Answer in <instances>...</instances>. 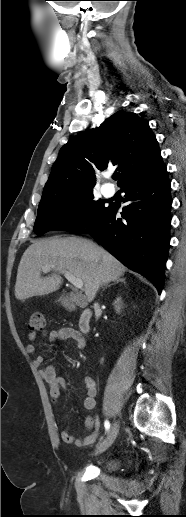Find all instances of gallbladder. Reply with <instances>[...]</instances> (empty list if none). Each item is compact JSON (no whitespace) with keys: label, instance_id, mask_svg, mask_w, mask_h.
<instances>
[{"label":"gallbladder","instance_id":"obj_1","mask_svg":"<svg viewBox=\"0 0 186 517\" xmlns=\"http://www.w3.org/2000/svg\"><path fill=\"white\" fill-rule=\"evenodd\" d=\"M67 298H68L70 301H74V300H75V297H74L73 295H69V296H67ZM60 300H61L62 302H64V303H65V302H66V297H64V296H63V297H61V299H60Z\"/></svg>","mask_w":186,"mask_h":517}]
</instances>
